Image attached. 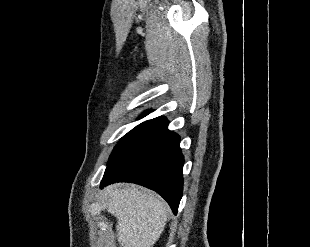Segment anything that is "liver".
I'll use <instances>...</instances> for the list:
<instances>
[{
    "mask_svg": "<svg viewBox=\"0 0 310 247\" xmlns=\"http://www.w3.org/2000/svg\"><path fill=\"white\" fill-rule=\"evenodd\" d=\"M107 211L117 218L121 247H153L167 220L165 202L150 190L113 184L103 190Z\"/></svg>",
    "mask_w": 310,
    "mask_h": 247,
    "instance_id": "1",
    "label": "liver"
}]
</instances>
